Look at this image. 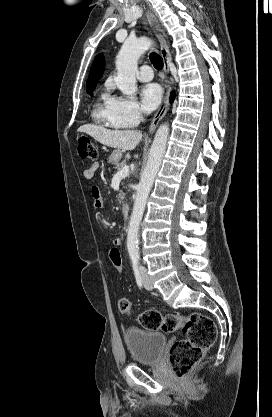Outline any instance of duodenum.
<instances>
[{
  "instance_id": "obj_1",
  "label": "duodenum",
  "mask_w": 272,
  "mask_h": 417,
  "mask_svg": "<svg viewBox=\"0 0 272 417\" xmlns=\"http://www.w3.org/2000/svg\"><path fill=\"white\" fill-rule=\"evenodd\" d=\"M121 211H122V214L126 217V216H128V214H129V211H130V207H129V205L127 204V203H123L122 204V206H121Z\"/></svg>"
}]
</instances>
